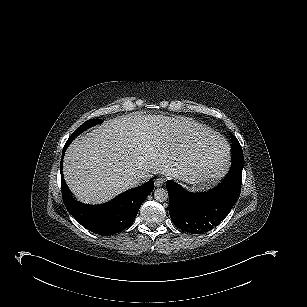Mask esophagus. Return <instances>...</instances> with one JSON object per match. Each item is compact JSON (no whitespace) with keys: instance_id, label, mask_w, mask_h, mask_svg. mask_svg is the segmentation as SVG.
I'll use <instances>...</instances> for the list:
<instances>
[{"instance_id":"34e87169","label":"esophagus","mask_w":307,"mask_h":307,"mask_svg":"<svg viewBox=\"0 0 307 307\" xmlns=\"http://www.w3.org/2000/svg\"><path fill=\"white\" fill-rule=\"evenodd\" d=\"M165 183V178L164 177H159L155 180V186L160 187Z\"/></svg>"}]
</instances>
